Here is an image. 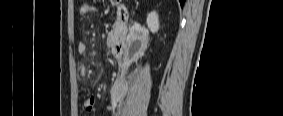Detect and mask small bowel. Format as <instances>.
I'll return each mask as SVG.
<instances>
[{"instance_id": "obj_1", "label": "small bowel", "mask_w": 283, "mask_h": 116, "mask_svg": "<svg viewBox=\"0 0 283 116\" xmlns=\"http://www.w3.org/2000/svg\"><path fill=\"white\" fill-rule=\"evenodd\" d=\"M80 12L82 14H97L99 13L98 8L90 1H84L80 6ZM77 50L80 54L87 53V45L84 42H80L77 46ZM116 100H113V105L110 106L111 110L115 109ZM95 105V99L93 97L88 98L85 100L83 104V108L87 112H91Z\"/></svg>"}]
</instances>
